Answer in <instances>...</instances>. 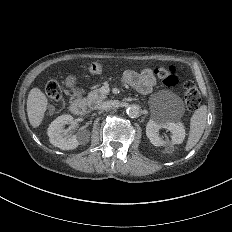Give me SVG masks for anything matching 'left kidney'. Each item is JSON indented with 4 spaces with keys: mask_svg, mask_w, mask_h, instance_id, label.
<instances>
[{
    "mask_svg": "<svg viewBox=\"0 0 232 232\" xmlns=\"http://www.w3.org/2000/svg\"><path fill=\"white\" fill-rule=\"evenodd\" d=\"M165 128L171 132V141H165L159 137V130ZM146 135L154 146L181 144L185 138L184 125L181 122L150 120L146 125Z\"/></svg>",
    "mask_w": 232,
    "mask_h": 232,
    "instance_id": "obj_1",
    "label": "left kidney"
}]
</instances>
